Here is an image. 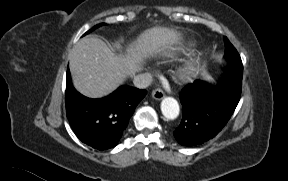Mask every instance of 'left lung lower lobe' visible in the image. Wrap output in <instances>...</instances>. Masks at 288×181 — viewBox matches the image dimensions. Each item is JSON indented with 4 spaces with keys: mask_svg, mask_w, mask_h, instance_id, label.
I'll return each mask as SVG.
<instances>
[{
    "mask_svg": "<svg viewBox=\"0 0 288 181\" xmlns=\"http://www.w3.org/2000/svg\"><path fill=\"white\" fill-rule=\"evenodd\" d=\"M241 85L223 80L187 85L180 94L182 121L173 132L179 144L195 146L215 137L229 121L241 96Z\"/></svg>",
    "mask_w": 288,
    "mask_h": 181,
    "instance_id": "0a47b994",
    "label": "left lung lower lobe"
}]
</instances>
